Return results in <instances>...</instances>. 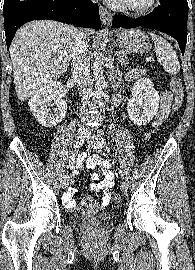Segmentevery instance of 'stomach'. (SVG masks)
I'll use <instances>...</instances> for the list:
<instances>
[{
    "instance_id": "stomach-1",
    "label": "stomach",
    "mask_w": 195,
    "mask_h": 270,
    "mask_svg": "<svg viewBox=\"0 0 195 270\" xmlns=\"http://www.w3.org/2000/svg\"><path fill=\"white\" fill-rule=\"evenodd\" d=\"M119 46L129 53H145L151 48L148 36L140 29L115 32Z\"/></svg>"
}]
</instances>
